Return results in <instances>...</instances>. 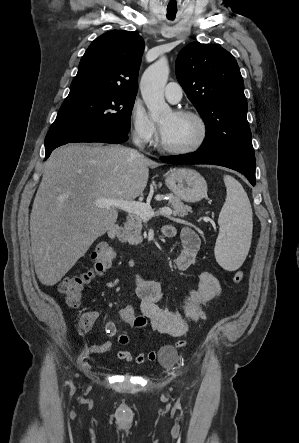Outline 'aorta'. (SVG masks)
<instances>
[{
  "instance_id": "aorta-1",
  "label": "aorta",
  "mask_w": 299,
  "mask_h": 443,
  "mask_svg": "<svg viewBox=\"0 0 299 443\" xmlns=\"http://www.w3.org/2000/svg\"><path fill=\"white\" fill-rule=\"evenodd\" d=\"M168 76V61L165 57H161L144 72L141 78L142 98L153 120H159L171 114V108L164 99V87Z\"/></svg>"
}]
</instances>
